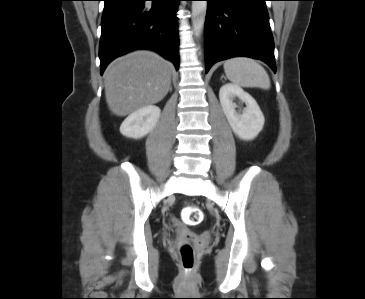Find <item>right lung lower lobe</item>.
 Here are the masks:
<instances>
[{
  "label": "right lung lower lobe",
  "instance_id": "98d812e1",
  "mask_svg": "<svg viewBox=\"0 0 365 299\" xmlns=\"http://www.w3.org/2000/svg\"><path fill=\"white\" fill-rule=\"evenodd\" d=\"M180 0H104L99 44L100 72L116 57L136 49H150L179 68L178 24Z\"/></svg>",
  "mask_w": 365,
  "mask_h": 299
}]
</instances>
